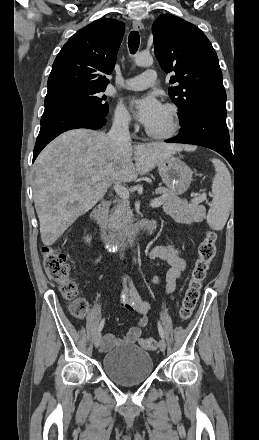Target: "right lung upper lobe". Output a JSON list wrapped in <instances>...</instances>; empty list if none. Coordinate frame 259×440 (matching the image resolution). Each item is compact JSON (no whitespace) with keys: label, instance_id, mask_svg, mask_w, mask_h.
Here are the masks:
<instances>
[{"label":"right lung upper lobe","instance_id":"1","mask_svg":"<svg viewBox=\"0 0 259 440\" xmlns=\"http://www.w3.org/2000/svg\"><path fill=\"white\" fill-rule=\"evenodd\" d=\"M124 34L122 22L101 18L76 32L58 53L47 94L83 87L106 89Z\"/></svg>","mask_w":259,"mask_h":440}]
</instances>
